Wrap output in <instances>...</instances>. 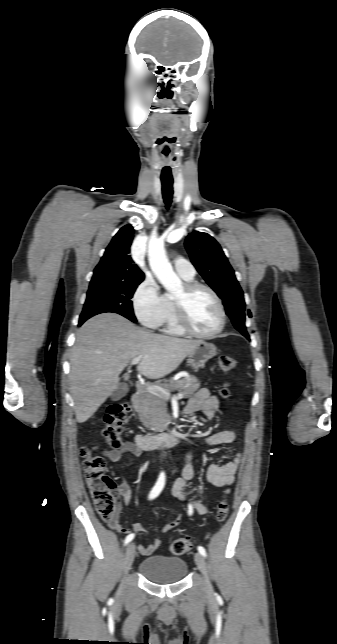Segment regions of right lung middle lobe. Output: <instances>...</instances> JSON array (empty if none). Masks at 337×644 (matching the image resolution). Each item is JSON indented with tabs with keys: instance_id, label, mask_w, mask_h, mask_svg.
<instances>
[{
	"instance_id": "dd1d6c3e",
	"label": "right lung middle lobe",
	"mask_w": 337,
	"mask_h": 644,
	"mask_svg": "<svg viewBox=\"0 0 337 644\" xmlns=\"http://www.w3.org/2000/svg\"><path fill=\"white\" fill-rule=\"evenodd\" d=\"M141 282L90 283L79 322L106 312L117 313L136 322L131 298Z\"/></svg>"
}]
</instances>
